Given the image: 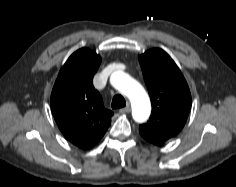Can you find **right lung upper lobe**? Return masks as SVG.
Listing matches in <instances>:
<instances>
[{
  "instance_id": "right-lung-upper-lobe-1",
  "label": "right lung upper lobe",
  "mask_w": 236,
  "mask_h": 187,
  "mask_svg": "<svg viewBox=\"0 0 236 187\" xmlns=\"http://www.w3.org/2000/svg\"><path fill=\"white\" fill-rule=\"evenodd\" d=\"M101 62L82 48L61 68L51 94V109L63 135L82 149L94 146L105 134L113 112L106 110L92 79Z\"/></svg>"
}]
</instances>
